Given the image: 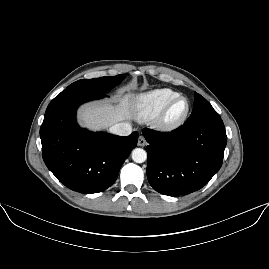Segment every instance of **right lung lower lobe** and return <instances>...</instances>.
Segmentation results:
<instances>
[{"instance_id": "98d812e1", "label": "right lung lower lobe", "mask_w": 269, "mask_h": 269, "mask_svg": "<svg viewBox=\"0 0 269 269\" xmlns=\"http://www.w3.org/2000/svg\"><path fill=\"white\" fill-rule=\"evenodd\" d=\"M105 96L79 89L64 90L48 105L40 128L46 166L61 183L76 192L92 194L109 188L137 145L136 131L122 137L90 132L77 124L78 106Z\"/></svg>"}]
</instances>
